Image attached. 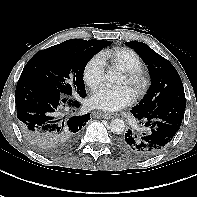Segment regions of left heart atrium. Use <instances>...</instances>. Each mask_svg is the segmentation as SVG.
Returning <instances> with one entry per match:
<instances>
[{
    "mask_svg": "<svg viewBox=\"0 0 197 197\" xmlns=\"http://www.w3.org/2000/svg\"><path fill=\"white\" fill-rule=\"evenodd\" d=\"M133 100L134 94L127 87L119 89L101 87L94 92L90 103L94 108L107 112H115L130 105Z\"/></svg>",
    "mask_w": 197,
    "mask_h": 197,
    "instance_id": "1",
    "label": "left heart atrium"
}]
</instances>
